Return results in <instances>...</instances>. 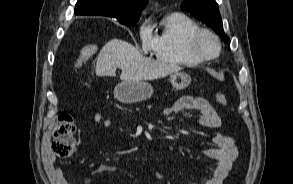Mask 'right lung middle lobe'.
<instances>
[{
	"label": "right lung middle lobe",
	"mask_w": 293,
	"mask_h": 184,
	"mask_svg": "<svg viewBox=\"0 0 293 184\" xmlns=\"http://www.w3.org/2000/svg\"><path fill=\"white\" fill-rule=\"evenodd\" d=\"M137 20H127V21H122L120 22L121 24H124V25H132L136 22Z\"/></svg>",
	"instance_id": "obj_1"
}]
</instances>
